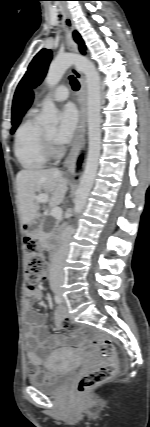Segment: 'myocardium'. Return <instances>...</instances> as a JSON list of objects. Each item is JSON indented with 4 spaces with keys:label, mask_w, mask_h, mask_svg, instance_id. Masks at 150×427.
<instances>
[{
    "label": "myocardium",
    "mask_w": 150,
    "mask_h": 427,
    "mask_svg": "<svg viewBox=\"0 0 150 427\" xmlns=\"http://www.w3.org/2000/svg\"><path fill=\"white\" fill-rule=\"evenodd\" d=\"M42 149L47 159L57 158L61 154V150L56 147L52 138L42 131Z\"/></svg>",
    "instance_id": "f54148a6"
}]
</instances>
